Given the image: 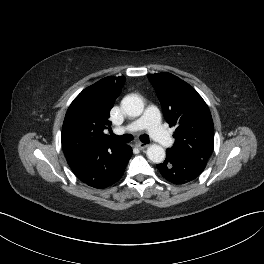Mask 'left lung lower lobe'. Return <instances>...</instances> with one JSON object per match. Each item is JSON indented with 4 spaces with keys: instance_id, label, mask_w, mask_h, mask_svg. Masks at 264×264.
Masks as SVG:
<instances>
[{
    "instance_id": "0a47b994",
    "label": "left lung lower lobe",
    "mask_w": 264,
    "mask_h": 264,
    "mask_svg": "<svg viewBox=\"0 0 264 264\" xmlns=\"http://www.w3.org/2000/svg\"><path fill=\"white\" fill-rule=\"evenodd\" d=\"M205 167L206 162L179 158L169 150H167L165 161L157 165L161 175L174 184H184L194 180Z\"/></svg>"
}]
</instances>
